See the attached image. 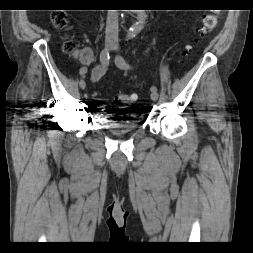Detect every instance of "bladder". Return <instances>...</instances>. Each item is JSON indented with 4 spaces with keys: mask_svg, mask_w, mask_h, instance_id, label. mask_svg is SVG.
<instances>
[{
    "mask_svg": "<svg viewBox=\"0 0 253 253\" xmlns=\"http://www.w3.org/2000/svg\"><path fill=\"white\" fill-rule=\"evenodd\" d=\"M117 112H103V121L100 128L114 132V133H129L136 131L140 128V121L134 119L133 116L122 112V108Z\"/></svg>",
    "mask_w": 253,
    "mask_h": 253,
    "instance_id": "31cf9c89",
    "label": "bladder"
}]
</instances>
